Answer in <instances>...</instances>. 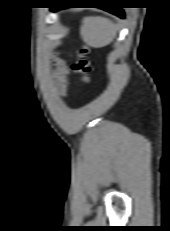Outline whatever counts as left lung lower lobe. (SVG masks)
I'll return each instance as SVG.
<instances>
[{
  "label": "left lung lower lobe",
  "mask_w": 170,
  "mask_h": 231,
  "mask_svg": "<svg viewBox=\"0 0 170 231\" xmlns=\"http://www.w3.org/2000/svg\"><path fill=\"white\" fill-rule=\"evenodd\" d=\"M62 9L59 7L52 8L53 11ZM101 9H104L106 11H109L110 13H113L121 18H124V12L120 7H101Z\"/></svg>",
  "instance_id": "left-lung-lower-lobe-1"
}]
</instances>
